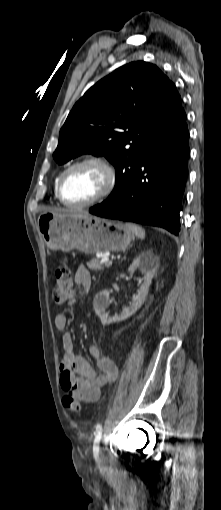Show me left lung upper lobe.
Returning <instances> with one entry per match:
<instances>
[{"mask_svg": "<svg viewBox=\"0 0 221 510\" xmlns=\"http://www.w3.org/2000/svg\"><path fill=\"white\" fill-rule=\"evenodd\" d=\"M175 85L150 63L137 61L98 81L74 105L60 130L53 158L63 164L83 153L105 156L116 169L118 196L147 151L187 128ZM104 201V202H105Z\"/></svg>", "mask_w": 221, "mask_h": 510, "instance_id": "5c2ea615", "label": "left lung upper lobe"}]
</instances>
